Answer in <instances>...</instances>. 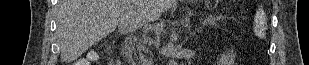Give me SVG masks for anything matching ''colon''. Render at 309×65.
I'll use <instances>...</instances> for the list:
<instances>
[{"label": "colon", "instance_id": "obj_1", "mask_svg": "<svg viewBox=\"0 0 309 65\" xmlns=\"http://www.w3.org/2000/svg\"><path fill=\"white\" fill-rule=\"evenodd\" d=\"M267 15L263 9H258L254 19V35L258 40H264L267 36ZM92 53H89V56ZM83 61V60H82ZM76 62L75 65H88V63Z\"/></svg>", "mask_w": 309, "mask_h": 65}]
</instances>
